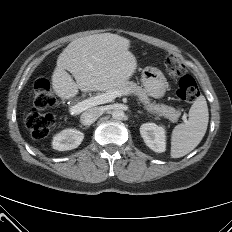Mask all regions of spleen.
Returning a JSON list of instances; mask_svg holds the SVG:
<instances>
[{"mask_svg": "<svg viewBox=\"0 0 232 232\" xmlns=\"http://www.w3.org/2000/svg\"><path fill=\"white\" fill-rule=\"evenodd\" d=\"M209 120L204 96H199L189 110L186 123L175 126L171 136V157L180 158L190 153L203 139Z\"/></svg>", "mask_w": 232, "mask_h": 232, "instance_id": "3e777b00", "label": "spleen"}]
</instances>
